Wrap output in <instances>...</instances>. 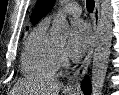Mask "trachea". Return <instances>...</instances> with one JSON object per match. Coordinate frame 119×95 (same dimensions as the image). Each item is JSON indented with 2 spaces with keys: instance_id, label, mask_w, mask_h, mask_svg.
Instances as JSON below:
<instances>
[{
  "instance_id": "obj_1",
  "label": "trachea",
  "mask_w": 119,
  "mask_h": 95,
  "mask_svg": "<svg viewBox=\"0 0 119 95\" xmlns=\"http://www.w3.org/2000/svg\"><path fill=\"white\" fill-rule=\"evenodd\" d=\"M95 2L93 0H87L86 7L87 11L92 13L94 10Z\"/></svg>"
}]
</instances>
